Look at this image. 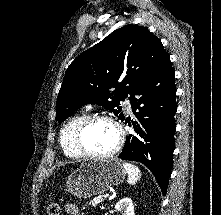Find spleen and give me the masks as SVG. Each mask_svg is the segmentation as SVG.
Returning a JSON list of instances; mask_svg holds the SVG:
<instances>
[{"label":"spleen","mask_w":221,"mask_h":215,"mask_svg":"<svg viewBox=\"0 0 221 215\" xmlns=\"http://www.w3.org/2000/svg\"><path fill=\"white\" fill-rule=\"evenodd\" d=\"M123 167L128 174V183L134 185L141 177V173L138 167L131 163H123Z\"/></svg>","instance_id":"1"}]
</instances>
